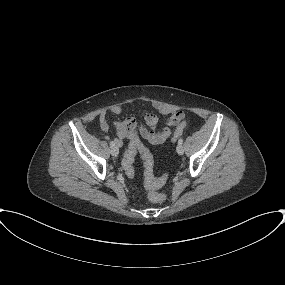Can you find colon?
<instances>
[{
    "label": "colon",
    "mask_w": 285,
    "mask_h": 285,
    "mask_svg": "<svg viewBox=\"0 0 285 285\" xmlns=\"http://www.w3.org/2000/svg\"><path fill=\"white\" fill-rule=\"evenodd\" d=\"M185 128V123H182L175 131L172 137V141H175L183 132ZM137 151H140L143 165H144V180L145 183L152 186V189H157L161 187L165 182L167 177L163 176L161 178H157L154 175V158L152 154L149 152L148 149L143 147L137 142H132L129 145L128 150L126 151L122 165L124 168L125 173L129 177H134V157ZM138 199H141V197H138ZM149 199L157 204H162L165 202V195L156 191H153L149 194Z\"/></svg>",
    "instance_id": "colon-1"
}]
</instances>
